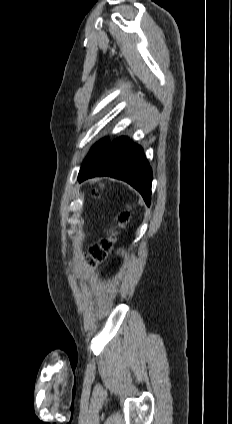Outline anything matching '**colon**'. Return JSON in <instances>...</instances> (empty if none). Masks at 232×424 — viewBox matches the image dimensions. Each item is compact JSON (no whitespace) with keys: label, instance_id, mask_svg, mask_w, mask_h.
Segmentation results:
<instances>
[{"label":"colon","instance_id":"obj_1","mask_svg":"<svg viewBox=\"0 0 232 424\" xmlns=\"http://www.w3.org/2000/svg\"><path fill=\"white\" fill-rule=\"evenodd\" d=\"M95 197L99 196V191L95 189L93 191ZM129 211H123L118 215L119 225H124L129 220ZM112 246V239L103 240L98 245L93 246L90 249L89 256L86 258V263L89 266H94L96 263L101 262L105 259L107 251Z\"/></svg>","mask_w":232,"mask_h":424}]
</instances>
